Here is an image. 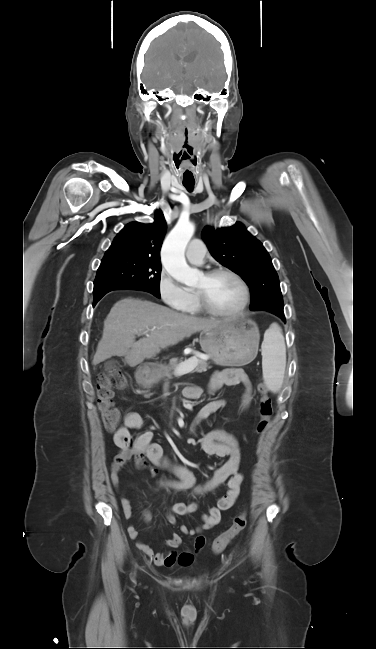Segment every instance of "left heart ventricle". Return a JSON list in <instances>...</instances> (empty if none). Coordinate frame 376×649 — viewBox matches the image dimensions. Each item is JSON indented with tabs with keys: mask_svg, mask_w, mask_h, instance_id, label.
Masks as SVG:
<instances>
[{
	"mask_svg": "<svg viewBox=\"0 0 376 649\" xmlns=\"http://www.w3.org/2000/svg\"><path fill=\"white\" fill-rule=\"evenodd\" d=\"M195 288L202 289L209 303L218 310H235L242 301L239 283L228 274H219L210 279L203 275Z\"/></svg>",
	"mask_w": 376,
	"mask_h": 649,
	"instance_id": "obj_1",
	"label": "left heart ventricle"
}]
</instances>
